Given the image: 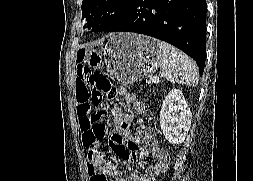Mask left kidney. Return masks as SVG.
Listing matches in <instances>:
<instances>
[{
	"label": "left kidney",
	"instance_id": "obj_1",
	"mask_svg": "<svg viewBox=\"0 0 253 181\" xmlns=\"http://www.w3.org/2000/svg\"><path fill=\"white\" fill-rule=\"evenodd\" d=\"M192 114L182 91L172 89L160 111V127L171 144H181L191 126Z\"/></svg>",
	"mask_w": 253,
	"mask_h": 181
}]
</instances>
